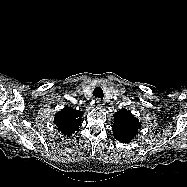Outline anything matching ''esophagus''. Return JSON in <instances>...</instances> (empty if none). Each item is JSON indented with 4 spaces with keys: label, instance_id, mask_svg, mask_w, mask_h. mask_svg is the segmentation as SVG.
<instances>
[{
    "label": "esophagus",
    "instance_id": "esophagus-1",
    "mask_svg": "<svg viewBox=\"0 0 187 187\" xmlns=\"http://www.w3.org/2000/svg\"><path fill=\"white\" fill-rule=\"evenodd\" d=\"M96 104H97V106L100 107V108H103V107H104V103H103V101H102L101 99H97Z\"/></svg>",
    "mask_w": 187,
    "mask_h": 187
}]
</instances>
